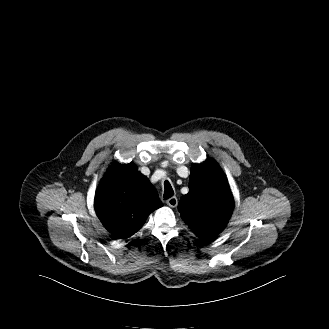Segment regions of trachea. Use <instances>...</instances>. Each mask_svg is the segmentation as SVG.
<instances>
[{
  "label": "trachea",
  "instance_id": "obj_1",
  "mask_svg": "<svg viewBox=\"0 0 329 329\" xmlns=\"http://www.w3.org/2000/svg\"><path fill=\"white\" fill-rule=\"evenodd\" d=\"M174 195V191H173V188L171 186V184L169 183V181H165L164 182V195L163 197L165 199H168L170 197H172Z\"/></svg>",
  "mask_w": 329,
  "mask_h": 329
}]
</instances>
